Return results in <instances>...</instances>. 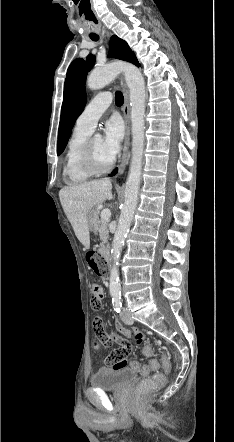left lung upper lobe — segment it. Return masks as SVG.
<instances>
[{
  "label": "left lung upper lobe",
  "instance_id": "5c2ea615",
  "mask_svg": "<svg viewBox=\"0 0 234 442\" xmlns=\"http://www.w3.org/2000/svg\"><path fill=\"white\" fill-rule=\"evenodd\" d=\"M110 57L118 58L139 65L138 60L128 44L116 35L110 40ZM95 63V56L90 54L86 61L75 59L67 70L64 84V96L58 131V149L60 155L70 138L76 119L82 113L86 104L85 81L88 71Z\"/></svg>",
  "mask_w": 234,
  "mask_h": 442
}]
</instances>
